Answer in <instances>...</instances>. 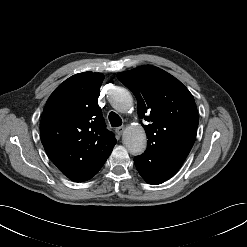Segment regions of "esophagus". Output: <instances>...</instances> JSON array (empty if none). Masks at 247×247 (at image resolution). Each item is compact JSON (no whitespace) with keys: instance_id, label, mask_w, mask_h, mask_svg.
Wrapping results in <instances>:
<instances>
[{"instance_id":"obj_1","label":"esophagus","mask_w":247,"mask_h":247,"mask_svg":"<svg viewBox=\"0 0 247 247\" xmlns=\"http://www.w3.org/2000/svg\"><path fill=\"white\" fill-rule=\"evenodd\" d=\"M123 131H124V127L123 126L117 127L115 129L116 134L119 135V136L122 135Z\"/></svg>"}]
</instances>
